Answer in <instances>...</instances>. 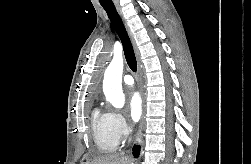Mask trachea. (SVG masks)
<instances>
[{"label": "trachea", "mask_w": 251, "mask_h": 164, "mask_svg": "<svg viewBox=\"0 0 251 164\" xmlns=\"http://www.w3.org/2000/svg\"><path fill=\"white\" fill-rule=\"evenodd\" d=\"M101 5L104 8V10L107 12L108 17L122 42L124 54H125V58H126L128 66L130 67L132 71L136 72L137 62H136L134 50H133L130 38L127 34V31L124 27V24L120 16L118 15L113 2L110 0L109 2L102 3Z\"/></svg>", "instance_id": "1"}]
</instances>
